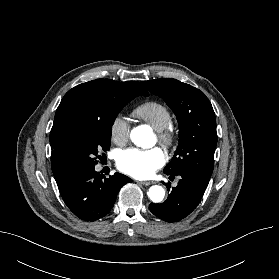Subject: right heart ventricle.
<instances>
[{
	"label": "right heart ventricle",
	"instance_id": "e07e8e85",
	"mask_svg": "<svg viewBox=\"0 0 279 279\" xmlns=\"http://www.w3.org/2000/svg\"><path fill=\"white\" fill-rule=\"evenodd\" d=\"M133 116L145 121L155 130L162 129L172 124L169 109L157 101H146L133 109Z\"/></svg>",
	"mask_w": 279,
	"mask_h": 279
}]
</instances>
